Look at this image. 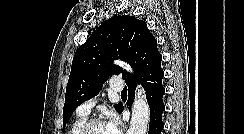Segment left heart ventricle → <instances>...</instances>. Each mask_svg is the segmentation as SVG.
Wrapping results in <instances>:
<instances>
[{"label": "left heart ventricle", "mask_w": 244, "mask_h": 134, "mask_svg": "<svg viewBox=\"0 0 244 134\" xmlns=\"http://www.w3.org/2000/svg\"><path fill=\"white\" fill-rule=\"evenodd\" d=\"M89 134H109L106 125H96L94 126Z\"/></svg>", "instance_id": "left-heart-ventricle-1"}]
</instances>
